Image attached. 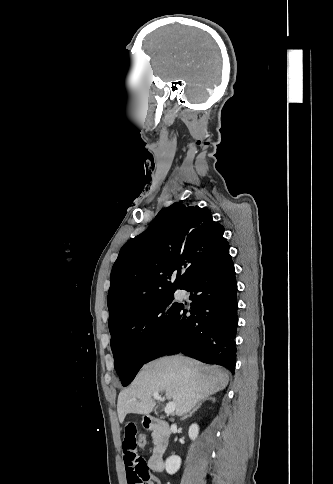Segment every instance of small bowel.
I'll return each mask as SVG.
<instances>
[{"mask_svg":"<svg viewBox=\"0 0 333 484\" xmlns=\"http://www.w3.org/2000/svg\"><path fill=\"white\" fill-rule=\"evenodd\" d=\"M136 438V425L129 421L124 426L122 443L127 484H161L160 480L151 474L146 460L138 454Z\"/></svg>","mask_w":333,"mask_h":484,"instance_id":"c3829d8e","label":"small bowel"}]
</instances>
